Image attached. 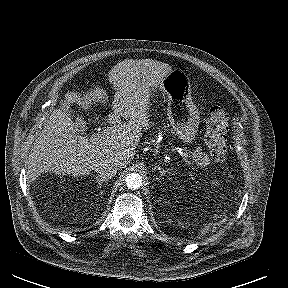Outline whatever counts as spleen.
<instances>
[{"instance_id": "spleen-1", "label": "spleen", "mask_w": 288, "mask_h": 288, "mask_svg": "<svg viewBox=\"0 0 288 288\" xmlns=\"http://www.w3.org/2000/svg\"><path fill=\"white\" fill-rule=\"evenodd\" d=\"M212 223L205 224L203 228L199 232V236H204L206 233L210 231Z\"/></svg>"}]
</instances>
